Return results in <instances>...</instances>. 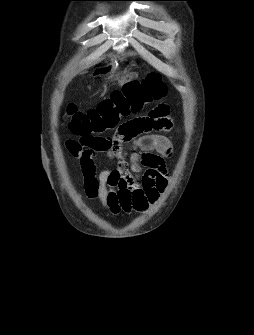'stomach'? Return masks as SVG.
Masks as SVG:
<instances>
[{
	"instance_id": "stomach-1",
	"label": "stomach",
	"mask_w": 254,
	"mask_h": 335,
	"mask_svg": "<svg viewBox=\"0 0 254 335\" xmlns=\"http://www.w3.org/2000/svg\"><path fill=\"white\" fill-rule=\"evenodd\" d=\"M98 72H99L100 74H102V75H103V74H106V73L109 72V68H105V67L100 68ZM133 76H134V75H129V76L126 77V78L120 79V83H124V82H127V81L131 80V79L133 78Z\"/></svg>"
}]
</instances>
